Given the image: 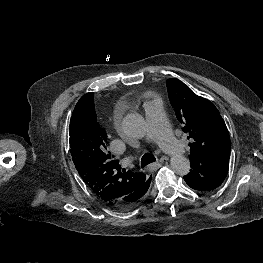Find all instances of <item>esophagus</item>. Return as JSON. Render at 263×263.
<instances>
[{
	"mask_svg": "<svg viewBox=\"0 0 263 263\" xmlns=\"http://www.w3.org/2000/svg\"><path fill=\"white\" fill-rule=\"evenodd\" d=\"M161 165H162V160H159L157 162H154V163H151L150 165H148L147 170L148 171L155 170V169L161 167Z\"/></svg>",
	"mask_w": 263,
	"mask_h": 263,
	"instance_id": "obj_1",
	"label": "esophagus"
}]
</instances>
